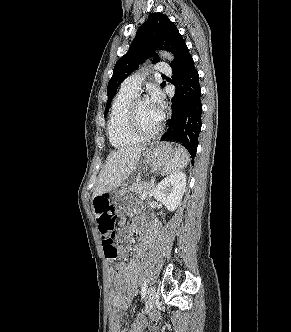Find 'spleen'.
I'll use <instances>...</instances> for the list:
<instances>
[{
	"mask_svg": "<svg viewBox=\"0 0 291 332\" xmlns=\"http://www.w3.org/2000/svg\"><path fill=\"white\" fill-rule=\"evenodd\" d=\"M189 160L190 158L187 150L182 146H178L176 156L171 159L166 166H164L162 175H167L180 171L185 166H187Z\"/></svg>",
	"mask_w": 291,
	"mask_h": 332,
	"instance_id": "obj_1",
	"label": "spleen"
}]
</instances>
